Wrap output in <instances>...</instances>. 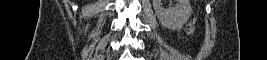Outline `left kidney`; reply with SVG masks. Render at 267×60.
Returning <instances> with one entry per match:
<instances>
[{"mask_svg": "<svg viewBox=\"0 0 267 60\" xmlns=\"http://www.w3.org/2000/svg\"><path fill=\"white\" fill-rule=\"evenodd\" d=\"M175 7L165 9L162 0H152L159 22L170 30H179L187 23L192 9L189 0H176Z\"/></svg>", "mask_w": 267, "mask_h": 60, "instance_id": "left-kidney-1", "label": "left kidney"}]
</instances>
